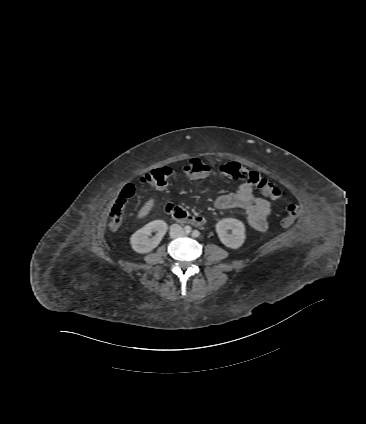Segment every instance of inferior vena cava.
Returning a JSON list of instances; mask_svg holds the SVG:
<instances>
[{
	"label": "inferior vena cava",
	"mask_w": 366,
	"mask_h": 424,
	"mask_svg": "<svg viewBox=\"0 0 366 424\" xmlns=\"http://www.w3.org/2000/svg\"><path fill=\"white\" fill-rule=\"evenodd\" d=\"M182 234V227L179 224H172L170 226V236L172 238L180 237Z\"/></svg>",
	"instance_id": "obj_1"
}]
</instances>
